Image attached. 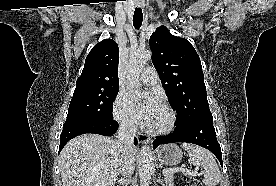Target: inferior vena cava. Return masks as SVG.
Listing matches in <instances>:
<instances>
[{
    "instance_id": "1",
    "label": "inferior vena cava",
    "mask_w": 276,
    "mask_h": 186,
    "mask_svg": "<svg viewBox=\"0 0 276 186\" xmlns=\"http://www.w3.org/2000/svg\"><path fill=\"white\" fill-rule=\"evenodd\" d=\"M137 130L136 123L133 121H123L118 129V140L116 141L121 154L120 173L124 179L129 181L134 168V157L131 155L133 150V140Z\"/></svg>"
}]
</instances>
